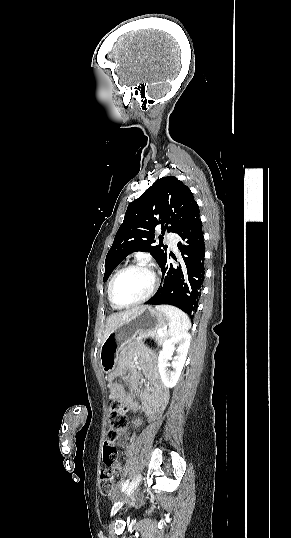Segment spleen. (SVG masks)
Instances as JSON below:
<instances>
[{
	"label": "spleen",
	"instance_id": "3e777b00",
	"mask_svg": "<svg viewBox=\"0 0 291 538\" xmlns=\"http://www.w3.org/2000/svg\"><path fill=\"white\" fill-rule=\"evenodd\" d=\"M156 310L163 312L169 320L168 334L170 336L180 335L190 329L189 317L179 308L171 305H157Z\"/></svg>",
	"mask_w": 291,
	"mask_h": 538
}]
</instances>
